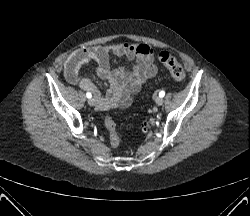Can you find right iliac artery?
Segmentation results:
<instances>
[{"label":"right iliac artery","instance_id":"right-iliac-artery-1","mask_svg":"<svg viewBox=\"0 0 250 216\" xmlns=\"http://www.w3.org/2000/svg\"><path fill=\"white\" fill-rule=\"evenodd\" d=\"M86 96H87V98H91V97H92V95H91L90 92H87V93H86Z\"/></svg>","mask_w":250,"mask_h":216}]
</instances>
